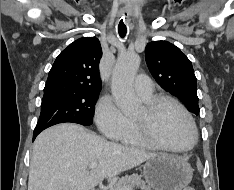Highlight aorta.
I'll return each instance as SVG.
<instances>
[{"label": "aorta", "instance_id": "aorta-1", "mask_svg": "<svg viewBox=\"0 0 234 190\" xmlns=\"http://www.w3.org/2000/svg\"><path fill=\"white\" fill-rule=\"evenodd\" d=\"M140 59L136 53L121 55L112 75V95L124 114H132L138 108L139 100L134 93L133 81Z\"/></svg>", "mask_w": 234, "mask_h": 190}]
</instances>
